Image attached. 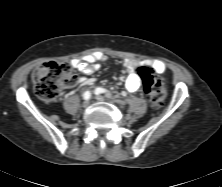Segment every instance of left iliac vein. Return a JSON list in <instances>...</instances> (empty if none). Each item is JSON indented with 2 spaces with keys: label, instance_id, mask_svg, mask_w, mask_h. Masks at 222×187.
<instances>
[{
  "label": "left iliac vein",
  "instance_id": "obj_1",
  "mask_svg": "<svg viewBox=\"0 0 222 187\" xmlns=\"http://www.w3.org/2000/svg\"><path fill=\"white\" fill-rule=\"evenodd\" d=\"M95 99L98 100V101H105V100H107L104 96H101V95H97L95 97Z\"/></svg>",
  "mask_w": 222,
  "mask_h": 187
}]
</instances>
